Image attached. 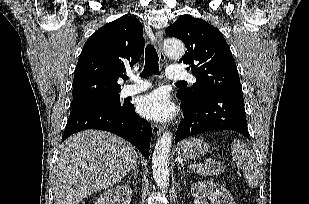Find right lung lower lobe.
<instances>
[{
	"label": "right lung lower lobe",
	"instance_id": "right-lung-lower-lobe-1",
	"mask_svg": "<svg viewBox=\"0 0 309 204\" xmlns=\"http://www.w3.org/2000/svg\"><path fill=\"white\" fill-rule=\"evenodd\" d=\"M86 129L112 132L131 142L145 158H149L151 125L135 113L133 104H124L120 109L87 107L72 110L62 141L73 133Z\"/></svg>",
	"mask_w": 309,
	"mask_h": 204
}]
</instances>
